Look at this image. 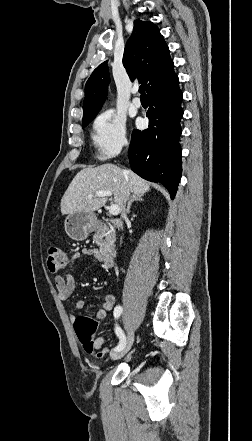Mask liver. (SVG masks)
<instances>
[{"mask_svg": "<svg viewBox=\"0 0 252 441\" xmlns=\"http://www.w3.org/2000/svg\"><path fill=\"white\" fill-rule=\"evenodd\" d=\"M109 190L113 201L122 209L125 194L143 196L150 190L149 183L129 169L113 164L87 167L80 170L61 199L62 215L73 212H94L105 205L106 196L88 198L97 191Z\"/></svg>", "mask_w": 252, "mask_h": 441, "instance_id": "6515ba94", "label": "liver"}]
</instances>
